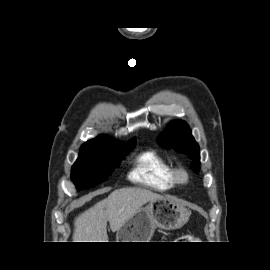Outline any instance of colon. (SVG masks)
Returning <instances> with one entry per match:
<instances>
[{"instance_id":"5ec220e1","label":"colon","mask_w":270,"mask_h":270,"mask_svg":"<svg viewBox=\"0 0 270 270\" xmlns=\"http://www.w3.org/2000/svg\"><path fill=\"white\" fill-rule=\"evenodd\" d=\"M189 236H181L180 239H188Z\"/></svg>"}]
</instances>
